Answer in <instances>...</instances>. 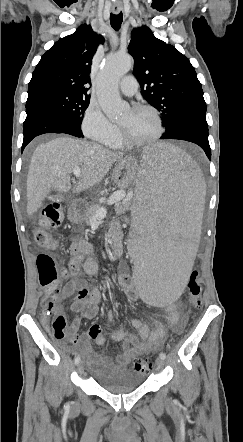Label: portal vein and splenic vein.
Wrapping results in <instances>:
<instances>
[{"mask_svg": "<svg viewBox=\"0 0 243 442\" xmlns=\"http://www.w3.org/2000/svg\"><path fill=\"white\" fill-rule=\"evenodd\" d=\"M73 174L76 177H80V175H81L80 167H74ZM124 198L129 200L131 198V194L126 195L125 191H119V192H116L113 195H111L109 200L107 201V203H108V205H112V204H115V203L121 201ZM106 214H107L106 208L101 207L96 211L94 217L92 218V221L96 222L98 220H102L106 217Z\"/></svg>", "mask_w": 243, "mask_h": 442, "instance_id": "obj_1", "label": "portal vein and splenic vein"}]
</instances>
